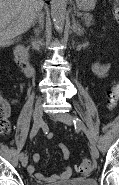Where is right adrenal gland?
<instances>
[{"label":"right adrenal gland","mask_w":119,"mask_h":185,"mask_svg":"<svg viewBox=\"0 0 119 185\" xmlns=\"http://www.w3.org/2000/svg\"><path fill=\"white\" fill-rule=\"evenodd\" d=\"M39 24H40L41 28H43V14H42V18L39 20Z\"/></svg>","instance_id":"2a0ac1e0"}]
</instances>
